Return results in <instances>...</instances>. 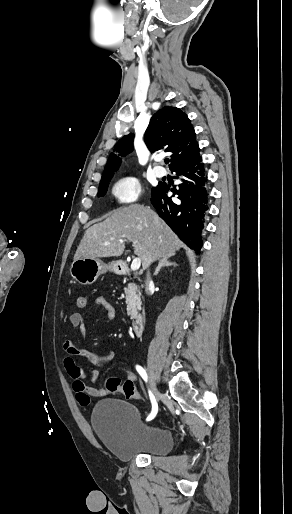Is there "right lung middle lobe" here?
Returning <instances> with one entry per match:
<instances>
[{"mask_svg": "<svg viewBox=\"0 0 292 514\" xmlns=\"http://www.w3.org/2000/svg\"><path fill=\"white\" fill-rule=\"evenodd\" d=\"M110 180L111 179H107V180L100 182V186H99V190H98V197H102L106 194Z\"/></svg>", "mask_w": 292, "mask_h": 514, "instance_id": "obj_1", "label": "right lung middle lobe"}]
</instances>
